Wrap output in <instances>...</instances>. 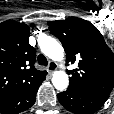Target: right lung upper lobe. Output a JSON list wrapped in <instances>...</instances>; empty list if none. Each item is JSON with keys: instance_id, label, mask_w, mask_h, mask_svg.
I'll list each match as a JSON object with an SVG mask.
<instances>
[{"instance_id": "obj_1", "label": "right lung upper lobe", "mask_w": 114, "mask_h": 114, "mask_svg": "<svg viewBox=\"0 0 114 114\" xmlns=\"http://www.w3.org/2000/svg\"><path fill=\"white\" fill-rule=\"evenodd\" d=\"M30 28L14 20L0 23V100L45 79L34 67L36 51L29 44Z\"/></svg>"}]
</instances>
